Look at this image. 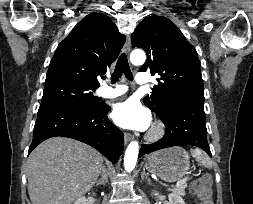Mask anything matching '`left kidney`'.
I'll use <instances>...</instances> for the list:
<instances>
[{
    "label": "left kidney",
    "mask_w": 253,
    "mask_h": 204,
    "mask_svg": "<svg viewBox=\"0 0 253 204\" xmlns=\"http://www.w3.org/2000/svg\"><path fill=\"white\" fill-rule=\"evenodd\" d=\"M153 194L156 195V196L159 195V193L156 192V191L153 192ZM168 198H169V203L168 204H185L182 197H180L177 194L171 193V194H169Z\"/></svg>",
    "instance_id": "obj_1"
}]
</instances>
